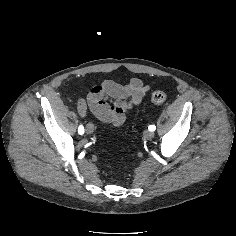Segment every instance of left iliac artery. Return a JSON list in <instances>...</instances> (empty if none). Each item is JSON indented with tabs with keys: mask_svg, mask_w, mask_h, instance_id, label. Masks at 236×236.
<instances>
[{
	"mask_svg": "<svg viewBox=\"0 0 236 236\" xmlns=\"http://www.w3.org/2000/svg\"><path fill=\"white\" fill-rule=\"evenodd\" d=\"M148 129H149V131L153 132V131H155L156 127L154 125H150L148 127Z\"/></svg>",
	"mask_w": 236,
	"mask_h": 236,
	"instance_id": "44dca946",
	"label": "left iliac artery"
}]
</instances>
